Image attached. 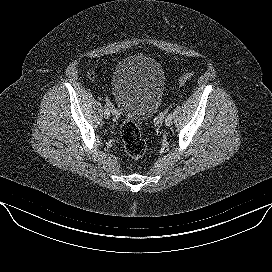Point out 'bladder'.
<instances>
[{"label": "bladder", "mask_w": 272, "mask_h": 272, "mask_svg": "<svg viewBox=\"0 0 272 272\" xmlns=\"http://www.w3.org/2000/svg\"><path fill=\"white\" fill-rule=\"evenodd\" d=\"M165 89L162 65L148 55H134L116 66L111 91L121 115L128 121L151 118L158 110Z\"/></svg>", "instance_id": "obj_1"}]
</instances>
